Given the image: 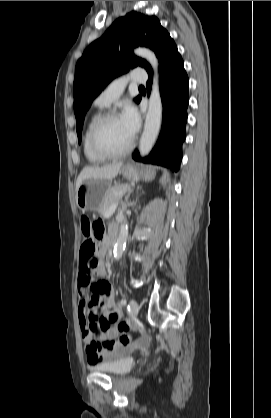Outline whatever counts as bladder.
Returning <instances> with one entry per match:
<instances>
[{"mask_svg": "<svg viewBox=\"0 0 271 418\" xmlns=\"http://www.w3.org/2000/svg\"><path fill=\"white\" fill-rule=\"evenodd\" d=\"M131 351L121 353L109 360L103 361L92 367V370L111 376H122L132 367Z\"/></svg>", "mask_w": 271, "mask_h": 418, "instance_id": "bladder-1", "label": "bladder"}]
</instances>
